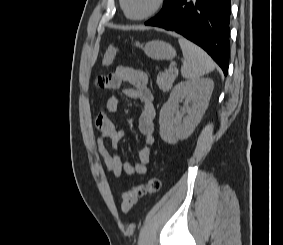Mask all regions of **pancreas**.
Returning <instances> with one entry per match:
<instances>
[{
    "label": "pancreas",
    "mask_w": 283,
    "mask_h": 245,
    "mask_svg": "<svg viewBox=\"0 0 283 245\" xmlns=\"http://www.w3.org/2000/svg\"><path fill=\"white\" fill-rule=\"evenodd\" d=\"M177 76L176 71H164L159 72L157 76V84L159 88L163 91H169L172 87V84Z\"/></svg>",
    "instance_id": "1"
}]
</instances>
